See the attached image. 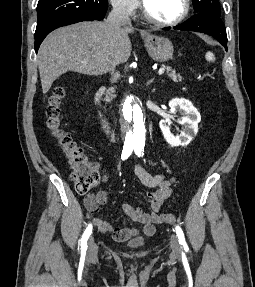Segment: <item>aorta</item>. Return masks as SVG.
Listing matches in <instances>:
<instances>
[{
    "mask_svg": "<svg viewBox=\"0 0 255 287\" xmlns=\"http://www.w3.org/2000/svg\"><path fill=\"white\" fill-rule=\"evenodd\" d=\"M123 117L126 145L144 147L146 139L144 111L132 96L125 100Z\"/></svg>",
    "mask_w": 255,
    "mask_h": 287,
    "instance_id": "aorta-1",
    "label": "aorta"
}]
</instances>
